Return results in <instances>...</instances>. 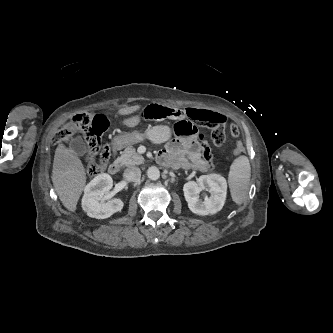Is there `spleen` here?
Listing matches in <instances>:
<instances>
[{
    "instance_id": "obj_1",
    "label": "spleen",
    "mask_w": 333,
    "mask_h": 333,
    "mask_svg": "<svg viewBox=\"0 0 333 333\" xmlns=\"http://www.w3.org/2000/svg\"><path fill=\"white\" fill-rule=\"evenodd\" d=\"M251 167L248 157L240 156L231 165L228 183L233 201L240 205L248 195Z\"/></svg>"
}]
</instances>
